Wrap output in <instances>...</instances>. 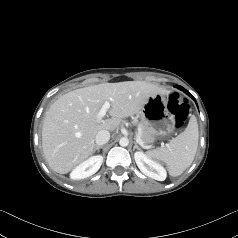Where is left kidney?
<instances>
[{
	"mask_svg": "<svg viewBox=\"0 0 238 238\" xmlns=\"http://www.w3.org/2000/svg\"><path fill=\"white\" fill-rule=\"evenodd\" d=\"M134 158L138 168L146 176L158 181H164L166 179L167 174L164 167L151 160L143 152H135Z\"/></svg>",
	"mask_w": 238,
	"mask_h": 238,
	"instance_id": "1",
	"label": "left kidney"
}]
</instances>
